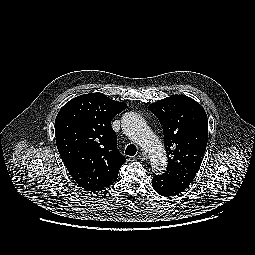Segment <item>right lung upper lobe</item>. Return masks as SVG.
I'll use <instances>...</instances> for the list:
<instances>
[{"instance_id":"cb5924a9","label":"right lung upper lobe","mask_w":255,"mask_h":255,"mask_svg":"<svg viewBox=\"0 0 255 255\" xmlns=\"http://www.w3.org/2000/svg\"><path fill=\"white\" fill-rule=\"evenodd\" d=\"M126 107L102 93H89L71 99L57 114L59 154L76 183L87 191L112 185L126 162L111 127L112 119Z\"/></svg>"}]
</instances>
